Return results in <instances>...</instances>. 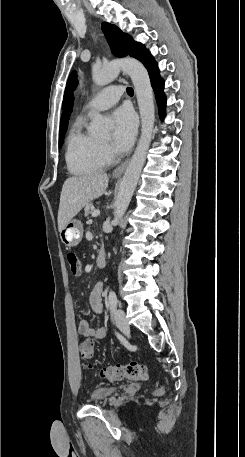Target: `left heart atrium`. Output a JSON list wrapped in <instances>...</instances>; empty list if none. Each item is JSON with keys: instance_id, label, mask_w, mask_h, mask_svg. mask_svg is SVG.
<instances>
[{"instance_id": "39dd6f15", "label": "left heart atrium", "mask_w": 245, "mask_h": 457, "mask_svg": "<svg viewBox=\"0 0 245 457\" xmlns=\"http://www.w3.org/2000/svg\"><path fill=\"white\" fill-rule=\"evenodd\" d=\"M114 124L113 146L119 150L127 149L134 138L137 119L134 112L127 107H120L112 114Z\"/></svg>"}]
</instances>
